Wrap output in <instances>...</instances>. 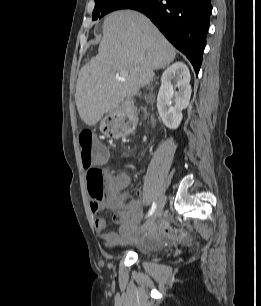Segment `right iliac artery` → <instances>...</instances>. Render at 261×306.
<instances>
[{
    "mask_svg": "<svg viewBox=\"0 0 261 306\" xmlns=\"http://www.w3.org/2000/svg\"><path fill=\"white\" fill-rule=\"evenodd\" d=\"M155 209H156V203L153 202V204H152V206H151V208H150V210H149V212H148L147 217H149L150 215H152V214L154 213Z\"/></svg>",
    "mask_w": 261,
    "mask_h": 306,
    "instance_id": "1",
    "label": "right iliac artery"
}]
</instances>
